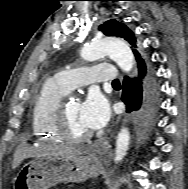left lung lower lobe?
Wrapping results in <instances>:
<instances>
[{"instance_id":"1","label":"left lung lower lobe","mask_w":188,"mask_h":189,"mask_svg":"<svg viewBox=\"0 0 188 189\" xmlns=\"http://www.w3.org/2000/svg\"><path fill=\"white\" fill-rule=\"evenodd\" d=\"M138 77H125L122 100L126 112H133L139 124L150 122L159 107V87L152 68L144 60L138 61Z\"/></svg>"}]
</instances>
